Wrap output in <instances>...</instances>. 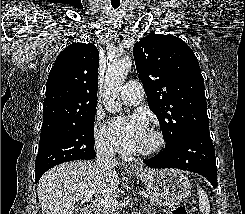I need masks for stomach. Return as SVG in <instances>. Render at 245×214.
<instances>
[{"label":"stomach","instance_id":"obj_1","mask_svg":"<svg viewBox=\"0 0 245 214\" xmlns=\"http://www.w3.org/2000/svg\"><path fill=\"white\" fill-rule=\"evenodd\" d=\"M137 175L149 189L172 203L183 200L191 190L188 177L177 169H140Z\"/></svg>","mask_w":245,"mask_h":214}]
</instances>
